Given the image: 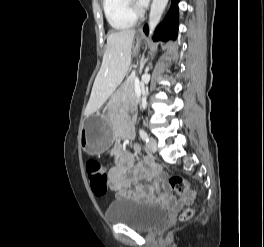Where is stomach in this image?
I'll use <instances>...</instances> for the list:
<instances>
[{"label":"stomach","mask_w":264,"mask_h":247,"mask_svg":"<svg viewBox=\"0 0 264 247\" xmlns=\"http://www.w3.org/2000/svg\"><path fill=\"white\" fill-rule=\"evenodd\" d=\"M140 39L137 38L136 52ZM109 108H104L101 113L88 115L79 130V140L84 151L91 155L104 152L111 144L114 135V125L109 117Z\"/></svg>","instance_id":"0dacf381"}]
</instances>
